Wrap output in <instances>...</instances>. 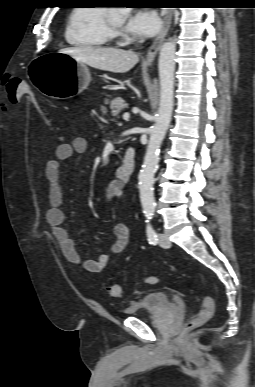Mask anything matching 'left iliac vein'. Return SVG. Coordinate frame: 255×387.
Listing matches in <instances>:
<instances>
[{"mask_svg":"<svg viewBox=\"0 0 255 387\" xmlns=\"http://www.w3.org/2000/svg\"><path fill=\"white\" fill-rule=\"evenodd\" d=\"M158 243L163 248H169L171 246V242H170L168 236L164 233L158 234Z\"/></svg>","mask_w":255,"mask_h":387,"instance_id":"4c4485c4","label":"left iliac vein"}]
</instances>
